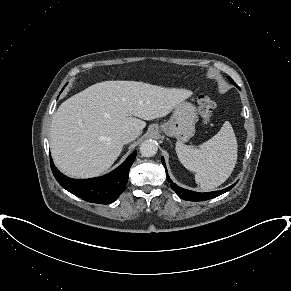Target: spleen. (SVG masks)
<instances>
[{
	"instance_id": "1",
	"label": "spleen",
	"mask_w": 291,
	"mask_h": 291,
	"mask_svg": "<svg viewBox=\"0 0 291 291\" xmlns=\"http://www.w3.org/2000/svg\"><path fill=\"white\" fill-rule=\"evenodd\" d=\"M237 140L231 124L224 122L220 131L200 147L176 143L180 162L195 172V181L203 190H212L231 175L237 161Z\"/></svg>"
}]
</instances>
